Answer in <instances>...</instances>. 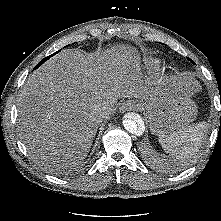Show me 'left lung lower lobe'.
<instances>
[{
  "instance_id": "1",
  "label": "left lung lower lobe",
  "mask_w": 221,
  "mask_h": 221,
  "mask_svg": "<svg viewBox=\"0 0 221 221\" xmlns=\"http://www.w3.org/2000/svg\"><path fill=\"white\" fill-rule=\"evenodd\" d=\"M220 126H221V118H220Z\"/></svg>"
}]
</instances>
